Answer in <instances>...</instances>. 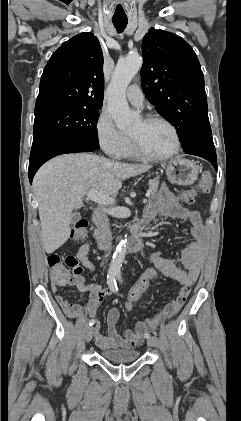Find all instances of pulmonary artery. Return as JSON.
Segmentation results:
<instances>
[{
    "instance_id": "obj_1",
    "label": "pulmonary artery",
    "mask_w": 241,
    "mask_h": 421,
    "mask_svg": "<svg viewBox=\"0 0 241 421\" xmlns=\"http://www.w3.org/2000/svg\"><path fill=\"white\" fill-rule=\"evenodd\" d=\"M128 101L134 106H141L143 104L144 96L137 84H132L126 91Z\"/></svg>"
}]
</instances>
